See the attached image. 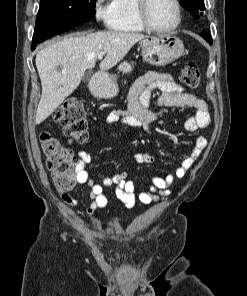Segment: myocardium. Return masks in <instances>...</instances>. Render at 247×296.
<instances>
[{
  "mask_svg": "<svg viewBox=\"0 0 247 296\" xmlns=\"http://www.w3.org/2000/svg\"><path fill=\"white\" fill-rule=\"evenodd\" d=\"M176 9V20L174 24L168 28H157L149 20L148 5L149 0H136L135 10L136 16L140 24L147 30L155 33L166 34L176 30L182 21V8L179 0H172Z\"/></svg>",
  "mask_w": 247,
  "mask_h": 296,
  "instance_id": "1",
  "label": "myocardium"
}]
</instances>
